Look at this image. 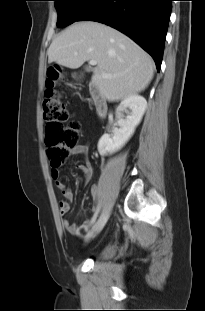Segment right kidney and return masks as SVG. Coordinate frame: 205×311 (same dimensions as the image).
<instances>
[{
  "mask_svg": "<svg viewBox=\"0 0 205 311\" xmlns=\"http://www.w3.org/2000/svg\"><path fill=\"white\" fill-rule=\"evenodd\" d=\"M130 109L126 119H122L121 112ZM147 101L144 97L134 94L125 98L116 111L119 128H114L112 134H104L98 142V151L101 155L111 154L125 145L133 135L136 126L140 123Z\"/></svg>",
  "mask_w": 205,
  "mask_h": 311,
  "instance_id": "1",
  "label": "right kidney"
}]
</instances>
